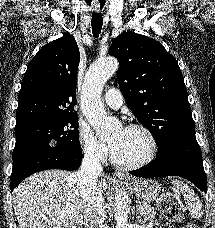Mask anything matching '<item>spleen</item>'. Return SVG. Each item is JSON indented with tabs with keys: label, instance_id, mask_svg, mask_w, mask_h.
Segmentation results:
<instances>
[{
	"label": "spleen",
	"instance_id": "3e777b00",
	"mask_svg": "<svg viewBox=\"0 0 215 228\" xmlns=\"http://www.w3.org/2000/svg\"><path fill=\"white\" fill-rule=\"evenodd\" d=\"M169 178H172V176H169ZM172 184L174 190H177V192H181V194H183V198L187 204L189 212H191L192 218L200 220V218H202L204 214V210L195 192H193V190H191V188H189L187 184H183V182H180V180H172Z\"/></svg>",
	"mask_w": 215,
	"mask_h": 228
}]
</instances>
